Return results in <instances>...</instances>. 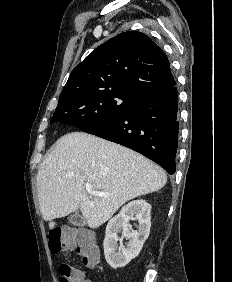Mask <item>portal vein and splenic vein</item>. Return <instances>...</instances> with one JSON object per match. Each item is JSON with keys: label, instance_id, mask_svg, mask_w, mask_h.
Listing matches in <instances>:
<instances>
[{"label": "portal vein and splenic vein", "instance_id": "portal-vein-and-splenic-vein-1", "mask_svg": "<svg viewBox=\"0 0 232 282\" xmlns=\"http://www.w3.org/2000/svg\"><path fill=\"white\" fill-rule=\"evenodd\" d=\"M86 191H87L90 195H93V196L106 197V196L109 195V194L104 193V192H99V191L93 190V189H92V186L89 185V184L86 185Z\"/></svg>", "mask_w": 232, "mask_h": 282}]
</instances>
